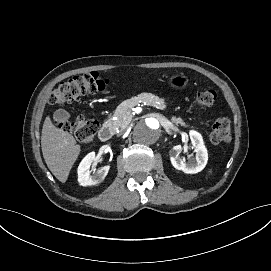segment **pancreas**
Segmentation results:
<instances>
[{
    "mask_svg": "<svg viewBox=\"0 0 271 271\" xmlns=\"http://www.w3.org/2000/svg\"><path fill=\"white\" fill-rule=\"evenodd\" d=\"M154 105L158 106L160 108H163V105H161V100H158V98L154 95H148V94H143L141 96H134L131 100H126L122 102L117 108L116 111L113 115L115 117V120L109 119L108 124L114 129V130H119V129H125L128 128L130 125V122L133 118L131 115V109L135 105ZM172 122L181 124L182 126L185 125L182 119L179 118H172Z\"/></svg>",
    "mask_w": 271,
    "mask_h": 271,
    "instance_id": "cf45deb5",
    "label": "pancreas"
}]
</instances>
